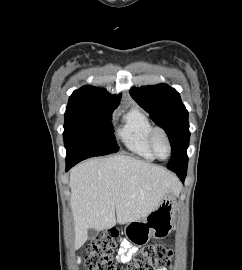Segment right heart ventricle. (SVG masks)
I'll return each instance as SVG.
<instances>
[{"mask_svg": "<svg viewBox=\"0 0 242 270\" xmlns=\"http://www.w3.org/2000/svg\"><path fill=\"white\" fill-rule=\"evenodd\" d=\"M153 129L148 116L138 108H133L124 117L118 136L129 151L146 160H154L155 157L149 147Z\"/></svg>", "mask_w": 242, "mask_h": 270, "instance_id": "right-heart-ventricle-1", "label": "right heart ventricle"}]
</instances>
